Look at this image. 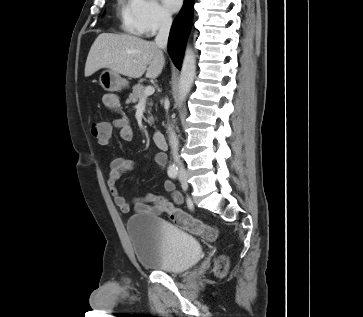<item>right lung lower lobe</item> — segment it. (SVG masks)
Segmentation results:
<instances>
[{"instance_id":"98d812e1","label":"right lung lower lobe","mask_w":363,"mask_h":317,"mask_svg":"<svg viewBox=\"0 0 363 317\" xmlns=\"http://www.w3.org/2000/svg\"><path fill=\"white\" fill-rule=\"evenodd\" d=\"M194 0H185L182 10L175 18L168 40V51L175 66L180 69L186 39L189 34L193 17Z\"/></svg>"}]
</instances>
